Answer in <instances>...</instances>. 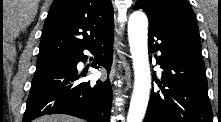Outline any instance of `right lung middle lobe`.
<instances>
[{"instance_id": "right-lung-middle-lobe-1", "label": "right lung middle lobe", "mask_w": 221, "mask_h": 122, "mask_svg": "<svg viewBox=\"0 0 221 122\" xmlns=\"http://www.w3.org/2000/svg\"><path fill=\"white\" fill-rule=\"evenodd\" d=\"M70 57L64 58H55V59H45V60H37L36 72L43 71L49 67L58 65L60 63L65 62Z\"/></svg>"}]
</instances>
